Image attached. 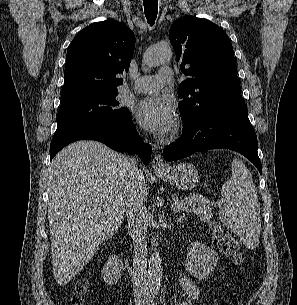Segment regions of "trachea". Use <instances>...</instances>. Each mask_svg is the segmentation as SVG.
<instances>
[{
  "mask_svg": "<svg viewBox=\"0 0 297 305\" xmlns=\"http://www.w3.org/2000/svg\"><path fill=\"white\" fill-rule=\"evenodd\" d=\"M144 11L148 23L153 25L158 13V0H144Z\"/></svg>",
  "mask_w": 297,
  "mask_h": 305,
  "instance_id": "obj_1",
  "label": "trachea"
}]
</instances>
